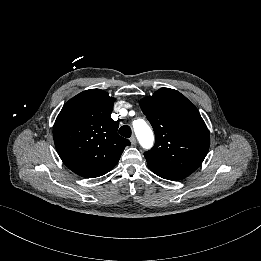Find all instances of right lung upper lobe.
I'll use <instances>...</instances> for the list:
<instances>
[{"label": "right lung upper lobe", "mask_w": 261, "mask_h": 261, "mask_svg": "<svg viewBox=\"0 0 261 261\" xmlns=\"http://www.w3.org/2000/svg\"><path fill=\"white\" fill-rule=\"evenodd\" d=\"M115 99L100 89L81 92L59 113L53 138L64 164L74 173L99 177L119 161L130 141L117 133L118 122L111 118Z\"/></svg>", "instance_id": "right-lung-upper-lobe-1"}]
</instances>
